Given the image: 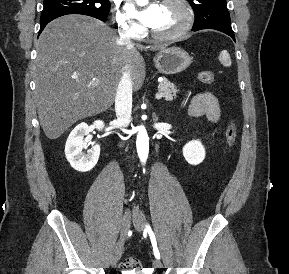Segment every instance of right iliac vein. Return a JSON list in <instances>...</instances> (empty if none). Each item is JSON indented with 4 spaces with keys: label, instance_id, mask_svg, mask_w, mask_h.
Segmentation results:
<instances>
[{
    "label": "right iliac vein",
    "instance_id": "obj_1",
    "mask_svg": "<svg viewBox=\"0 0 289 274\" xmlns=\"http://www.w3.org/2000/svg\"><path fill=\"white\" fill-rule=\"evenodd\" d=\"M130 222H131V214L130 212H125L122 222H121V230H120V238L118 241V244L116 246V249L113 253L112 259H111V265L115 266L118 261L120 260L122 256L123 251V245L126 240L129 228H130Z\"/></svg>",
    "mask_w": 289,
    "mask_h": 274
}]
</instances>
